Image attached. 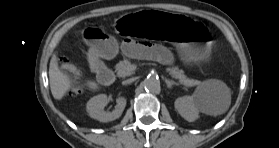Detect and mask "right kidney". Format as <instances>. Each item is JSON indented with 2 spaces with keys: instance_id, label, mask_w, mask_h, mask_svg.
I'll return each instance as SVG.
<instances>
[{
  "instance_id": "ca27d5eb",
  "label": "right kidney",
  "mask_w": 279,
  "mask_h": 148,
  "mask_svg": "<svg viewBox=\"0 0 279 148\" xmlns=\"http://www.w3.org/2000/svg\"><path fill=\"white\" fill-rule=\"evenodd\" d=\"M107 100L108 98L105 94H100L91 98L86 105L89 115L101 122H109L119 118L125 109L127 102L126 98L118 97L117 106L112 112L104 111V108L107 105Z\"/></svg>"
}]
</instances>
